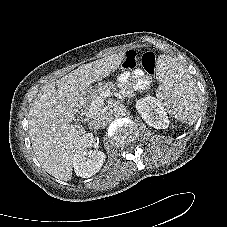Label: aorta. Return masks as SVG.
I'll use <instances>...</instances> for the list:
<instances>
[{"instance_id": "762f6f07", "label": "aorta", "mask_w": 227, "mask_h": 227, "mask_svg": "<svg viewBox=\"0 0 227 227\" xmlns=\"http://www.w3.org/2000/svg\"><path fill=\"white\" fill-rule=\"evenodd\" d=\"M126 112H127V108L123 104L115 105L113 108V113L117 117L124 116Z\"/></svg>"}]
</instances>
